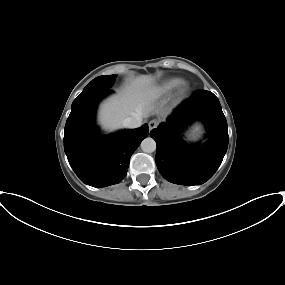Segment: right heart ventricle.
Instances as JSON below:
<instances>
[{
	"mask_svg": "<svg viewBox=\"0 0 285 285\" xmlns=\"http://www.w3.org/2000/svg\"><path fill=\"white\" fill-rule=\"evenodd\" d=\"M182 80L180 78H170L160 84L153 90V95L156 97L170 94L173 90H175L180 84Z\"/></svg>",
	"mask_w": 285,
	"mask_h": 285,
	"instance_id": "right-heart-ventricle-1",
	"label": "right heart ventricle"
}]
</instances>
